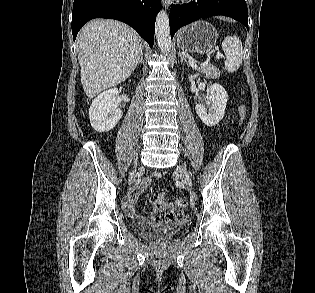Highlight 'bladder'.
Returning a JSON list of instances; mask_svg holds the SVG:
<instances>
[{
  "label": "bladder",
  "mask_w": 315,
  "mask_h": 293,
  "mask_svg": "<svg viewBox=\"0 0 315 293\" xmlns=\"http://www.w3.org/2000/svg\"><path fill=\"white\" fill-rule=\"evenodd\" d=\"M133 229L138 235L152 242H168L178 232L176 227L165 223H152L148 221L135 222Z\"/></svg>",
  "instance_id": "bladder-1"
}]
</instances>
